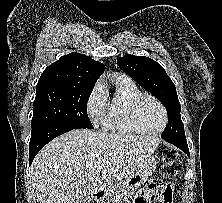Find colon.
<instances>
[{"instance_id":"colon-1","label":"colon","mask_w":222,"mask_h":203,"mask_svg":"<svg viewBox=\"0 0 222 203\" xmlns=\"http://www.w3.org/2000/svg\"><path fill=\"white\" fill-rule=\"evenodd\" d=\"M182 169V159L179 153L173 149H167L163 155L162 176L164 178L175 177ZM156 188V184L148 185L142 196L150 194ZM139 203H146L143 197L138 198Z\"/></svg>"}]
</instances>
